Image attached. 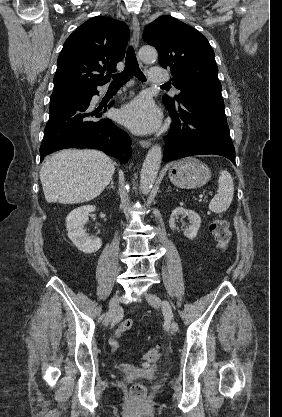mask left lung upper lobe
<instances>
[{
	"label": "left lung upper lobe",
	"instance_id": "5c2ea615",
	"mask_svg": "<svg viewBox=\"0 0 282 417\" xmlns=\"http://www.w3.org/2000/svg\"><path fill=\"white\" fill-rule=\"evenodd\" d=\"M143 39L158 50L159 64L171 70L172 83L181 91L176 96L178 102L194 88L221 90L214 51L195 28L163 15L145 27ZM163 102L175 106V100L167 95Z\"/></svg>",
	"mask_w": 282,
	"mask_h": 417
}]
</instances>
